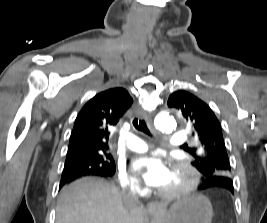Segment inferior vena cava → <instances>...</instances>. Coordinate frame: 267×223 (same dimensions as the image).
I'll use <instances>...</instances> for the list:
<instances>
[{"label": "inferior vena cava", "mask_w": 267, "mask_h": 223, "mask_svg": "<svg viewBox=\"0 0 267 223\" xmlns=\"http://www.w3.org/2000/svg\"><path fill=\"white\" fill-rule=\"evenodd\" d=\"M122 197L127 207H132V206L138 205L139 203L138 195L133 190H125L122 193Z\"/></svg>", "instance_id": "inferior-vena-cava-1"}]
</instances>
